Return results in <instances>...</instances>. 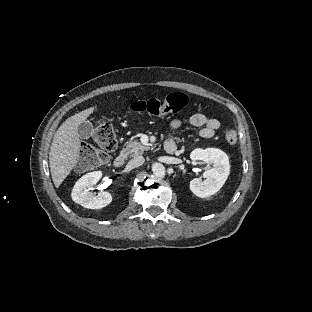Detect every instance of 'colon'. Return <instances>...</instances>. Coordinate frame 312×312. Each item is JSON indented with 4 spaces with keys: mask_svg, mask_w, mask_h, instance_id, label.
<instances>
[{
    "mask_svg": "<svg viewBox=\"0 0 312 312\" xmlns=\"http://www.w3.org/2000/svg\"><path fill=\"white\" fill-rule=\"evenodd\" d=\"M186 96L182 92L169 93L164 99L151 98L134 102L131 110L137 113L151 114L162 118L166 114L175 113L185 107ZM93 138L99 149L83 150L80 154V161L83 165L91 167L99 166L110 160V153L118 144L114 126L110 120L98 119L93 127ZM225 140L228 145H235L238 137L234 130L225 132Z\"/></svg>",
    "mask_w": 312,
    "mask_h": 312,
    "instance_id": "5ec220e1",
    "label": "colon"
}]
</instances>
